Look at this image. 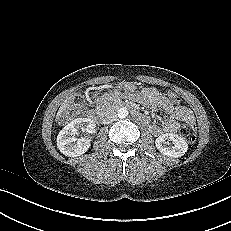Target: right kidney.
<instances>
[{
    "mask_svg": "<svg viewBox=\"0 0 231 231\" xmlns=\"http://www.w3.org/2000/svg\"><path fill=\"white\" fill-rule=\"evenodd\" d=\"M96 124L88 118H77L67 124L57 136V147L62 154L68 157H77L84 154L91 146L89 138H76L79 132L93 133Z\"/></svg>",
    "mask_w": 231,
    "mask_h": 231,
    "instance_id": "ca27d5eb",
    "label": "right kidney"
}]
</instances>
